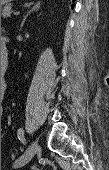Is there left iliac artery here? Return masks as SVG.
<instances>
[{"mask_svg":"<svg viewBox=\"0 0 109 170\" xmlns=\"http://www.w3.org/2000/svg\"><path fill=\"white\" fill-rule=\"evenodd\" d=\"M17 135H18L19 140L22 143H24L25 142V133H24V130L22 128L18 129Z\"/></svg>","mask_w":109,"mask_h":170,"instance_id":"44dca946","label":"left iliac artery"}]
</instances>
